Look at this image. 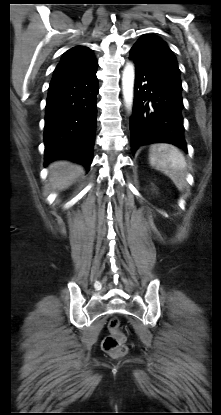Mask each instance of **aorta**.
<instances>
[{"label":"aorta","instance_id":"1","mask_svg":"<svg viewBox=\"0 0 221 415\" xmlns=\"http://www.w3.org/2000/svg\"><path fill=\"white\" fill-rule=\"evenodd\" d=\"M134 79L135 71L134 66L128 63L123 71L122 75V91L125 105L128 109L132 108L133 104V91H134Z\"/></svg>","mask_w":221,"mask_h":415}]
</instances>
